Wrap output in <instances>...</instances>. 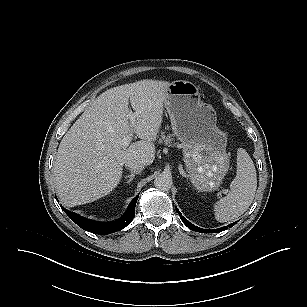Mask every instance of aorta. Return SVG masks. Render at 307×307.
Instances as JSON below:
<instances>
[{
  "mask_svg": "<svg viewBox=\"0 0 307 307\" xmlns=\"http://www.w3.org/2000/svg\"><path fill=\"white\" fill-rule=\"evenodd\" d=\"M154 185L159 190L167 191L171 188L172 177L169 174L161 173L156 176Z\"/></svg>",
  "mask_w": 307,
  "mask_h": 307,
  "instance_id": "1",
  "label": "aorta"
}]
</instances>
